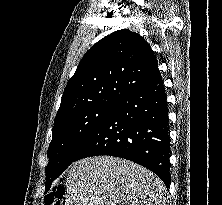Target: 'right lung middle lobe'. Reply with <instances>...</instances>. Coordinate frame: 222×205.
Instances as JSON below:
<instances>
[{"label":"right lung middle lobe","mask_w":222,"mask_h":205,"mask_svg":"<svg viewBox=\"0 0 222 205\" xmlns=\"http://www.w3.org/2000/svg\"><path fill=\"white\" fill-rule=\"evenodd\" d=\"M119 101L99 103L54 122L47 156L46 185H51L72 162L89 137Z\"/></svg>","instance_id":"1"}]
</instances>
